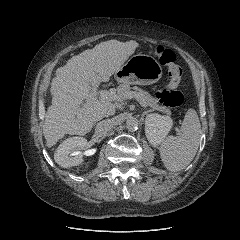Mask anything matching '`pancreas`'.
Here are the masks:
<instances>
[{"label": "pancreas", "instance_id": "cf45deb5", "mask_svg": "<svg viewBox=\"0 0 240 240\" xmlns=\"http://www.w3.org/2000/svg\"><path fill=\"white\" fill-rule=\"evenodd\" d=\"M133 89V91H132ZM128 92H132L133 94H137L141 101H143L147 106L153 108L154 110H158V111H161L163 113H166L168 115L171 114V111L170 109H168L167 107L165 106H162L160 104H158V101L152 97L148 92L138 88V87H133L131 88L129 84L127 83H123V84H120L117 88V99L120 101V102H123L124 100H126V94Z\"/></svg>", "mask_w": 240, "mask_h": 240}]
</instances>
